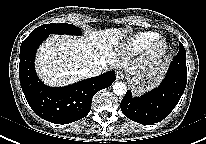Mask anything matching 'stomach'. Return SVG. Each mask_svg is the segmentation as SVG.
<instances>
[{"label": "stomach", "mask_w": 206, "mask_h": 144, "mask_svg": "<svg viewBox=\"0 0 206 144\" xmlns=\"http://www.w3.org/2000/svg\"><path fill=\"white\" fill-rule=\"evenodd\" d=\"M165 72V64L161 66H149L142 70L130 73L128 80L134 94H142L145 90L155 87L162 79Z\"/></svg>", "instance_id": "stomach-1"}]
</instances>
